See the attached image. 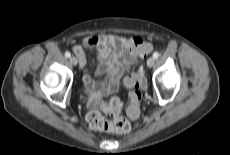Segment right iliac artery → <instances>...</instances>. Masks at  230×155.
<instances>
[{
    "label": "right iliac artery",
    "mask_w": 230,
    "mask_h": 155,
    "mask_svg": "<svg viewBox=\"0 0 230 155\" xmlns=\"http://www.w3.org/2000/svg\"><path fill=\"white\" fill-rule=\"evenodd\" d=\"M71 56L70 52H65V57L69 58Z\"/></svg>",
    "instance_id": "right-iliac-artery-1"
}]
</instances>
